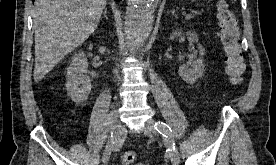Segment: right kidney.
Instances as JSON below:
<instances>
[{
  "label": "right kidney",
  "mask_w": 276,
  "mask_h": 165,
  "mask_svg": "<svg viewBox=\"0 0 276 165\" xmlns=\"http://www.w3.org/2000/svg\"><path fill=\"white\" fill-rule=\"evenodd\" d=\"M88 62L84 52H78L72 58L67 68L66 90L67 95L76 104L88 99L91 92V80L87 75Z\"/></svg>",
  "instance_id": "ca27d5eb"
}]
</instances>
